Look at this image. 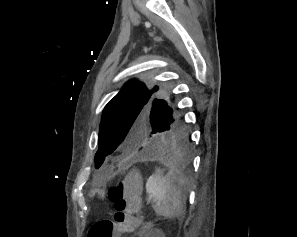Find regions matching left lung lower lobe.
Listing matches in <instances>:
<instances>
[{
	"label": "left lung lower lobe",
	"instance_id": "obj_1",
	"mask_svg": "<svg viewBox=\"0 0 297 237\" xmlns=\"http://www.w3.org/2000/svg\"><path fill=\"white\" fill-rule=\"evenodd\" d=\"M167 121L163 130L158 131L159 134L150 142L149 150L144 157H173L189 165L192 151L191 139L184 122L178 112Z\"/></svg>",
	"mask_w": 297,
	"mask_h": 237
}]
</instances>
